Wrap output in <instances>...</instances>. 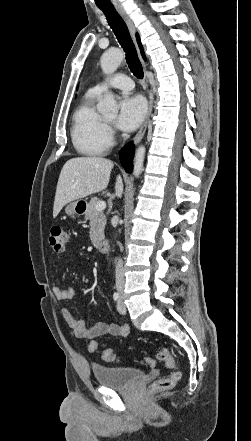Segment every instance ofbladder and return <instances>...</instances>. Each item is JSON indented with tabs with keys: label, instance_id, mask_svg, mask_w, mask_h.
Here are the masks:
<instances>
[{
	"label": "bladder",
	"instance_id": "obj_1",
	"mask_svg": "<svg viewBox=\"0 0 251 441\" xmlns=\"http://www.w3.org/2000/svg\"><path fill=\"white\" fill-rule=\"evenodd\" d=\"M92 372L100 385L113 389H127L144 376L142 370L132 367L93 365Z\"/></svg>",
	"mask_w": 251,
	"mask_h": 441
}]
</instances>
